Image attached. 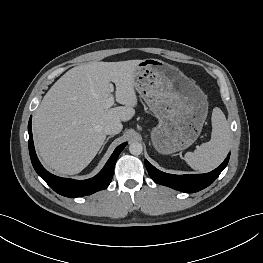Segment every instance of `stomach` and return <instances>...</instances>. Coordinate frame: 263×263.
<instances>
[{
	"instance_id": "1",
	"label": "stomach",
	"mask_w": 263,
	"mask_h": 263,
	"mask_svg": "<svg viewBox=\"0 0 263 263\" xmlns=\"http://www.w3.org/2000/svg\"><path fill=\"white\" fill-rule=\"evenodd\" d=\"M134 87L158 119L151 140L162 154L191 146L208 114L204 92L177 67L159 59L140 60Z\"/></svg>"
}]
</instances>
